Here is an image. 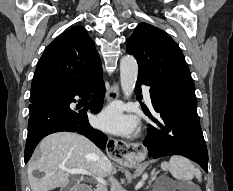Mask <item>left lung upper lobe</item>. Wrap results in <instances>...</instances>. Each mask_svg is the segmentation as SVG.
Listing matches in <instances>:
<instances>
[{
    "label": "left lung upper lobe",
    "mask_w": 233,
    "mask_h": 191,
    "mask_svg": "<svg viewBox=\"0 0 233 191\" xmlns=\"http://www.w3.org/2000/svg\"><path fill=\"white\" fill-rule=\"evenodd\" d=\"M126 44L127 53L137 59L138 75L147 77L154 84L195 96L194 82L184 55L167 33L141 23Z\"/></svg>",
    "instance_id": "5c2ea615"
}]
</instances>
